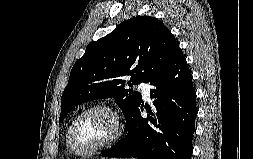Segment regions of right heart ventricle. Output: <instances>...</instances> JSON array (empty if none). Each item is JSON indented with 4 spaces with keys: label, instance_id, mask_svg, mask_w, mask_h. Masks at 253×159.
Returning a JSON list of instances; mask_svg holds the SVG:
<instances>
[{
    "label": "right heart ventricle",
    "instance_id": "e07e8e85",
    "mask_svg": "<svg viewBox=\"0 0 253 159\" xmlns=\"http://www.w3.org/2000/svg\"><path fill=\"white\" fill-rule=\"evenodd\" d=\"M66 143H67V134H66Z\"/></svg>",
    "mask_w": 253,
    "mask_h": 159
}]
</instances>
